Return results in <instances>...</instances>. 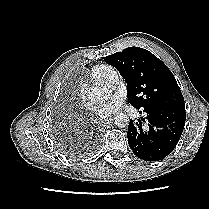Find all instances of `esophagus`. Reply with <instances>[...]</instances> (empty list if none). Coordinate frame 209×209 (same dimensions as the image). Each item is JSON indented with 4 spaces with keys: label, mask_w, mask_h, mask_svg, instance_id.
<instances>
[{
    "label": "esophagus",
    "mask_w": 209,
    "mask_h": 209,
    "mask_svg": "<svg viewBox=\"0 0 209 209\" xmlns=\"http://www.w3.org/2000/svg\"><path fill=\"white\" fill-rule=\"evenodd\" d=\"M110 121H111V119H109L108 121H103V122L101 123V125H102V126H105V125H107Z\"/></svg>",
    "instance_id": "obj_1"
}]
</instances>
